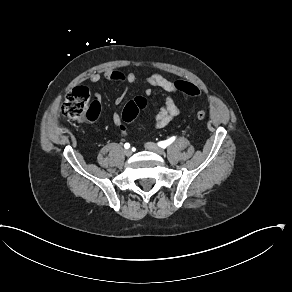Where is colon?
Segmentation results:
<instances>
[{"instance_id": "colon-1", "label": "colon", "mask_w": 292, "mask_h": 292, "mask_svg": "<svg viewBox=\"0 0 292 292\" xmlns=\"http://www.w3.org/2000/svg\"><path fill=\"white\" fill-rule=\"evenodd\" d=\"M176 89L189 96H198L199 88L196 85L187 82H177ZM148 105V99L144 96L135 97L127 101L122 110V116L125 122L131 123L137 115ZM101 111V105L97 101L90 100V94L84 87L73 88L66 97L63 108V115L66 118L78 120L81 123L88 122L96 118ZM206 110L199 108L196 116L199 120L206 117Z\"/></svg>"}]
</instances>
